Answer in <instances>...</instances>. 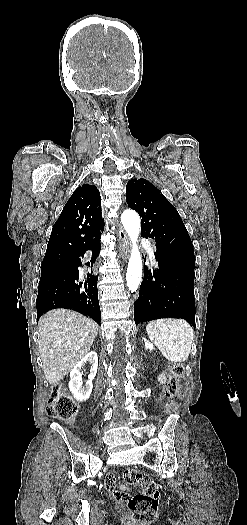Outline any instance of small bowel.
Segmentation results:
<instances>
[{"label": "small bowel", "instance_id": "1", "mask_svg": "<svg viewBox=\"0 0 247 525\" xmlns=\"http://www.w3.org/2000/svg\"><path fill=\"white\" fill-rule=\"evenodd\" d=\"M158 382L160 384H164L166 382V376L164 374H160L158 376ZM105 479H106L105 486L115 496L114 500L116 502H124L126 500V497L124 496L125 494L124 490H127V488L123 487L124 490L115 489L116 483L113 480L114 476L111 473L106 474Z\"/></svg>", "mask_w": 247, "mask_h": 525}]
</instances>
